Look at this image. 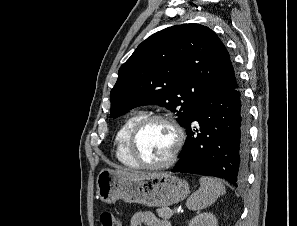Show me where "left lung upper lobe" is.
<instances>
[{
  "label": "left lung upper lobe",
  "mask_w": 297,
  "mask_h": 226,
  "mask_svg": "<svg viewBox=\"0 0 297 226\" xmlns=\"http://www.w3.org/2000/svg\"><path fill=\"white\" fill-rule=\"evenodd\" d=\"M111 90V117L140 105L157 104L185 126L208 90L237 87L229 53L208 27L182 24L143 41L120 67Z\"/></svg>",
  "instance_id": "left-lung-upper-lobe-1"
}]
</instances>
